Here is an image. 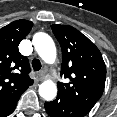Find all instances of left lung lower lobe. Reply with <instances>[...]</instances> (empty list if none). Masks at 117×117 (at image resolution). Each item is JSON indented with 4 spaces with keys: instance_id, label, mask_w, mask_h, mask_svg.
Wrapping results in <instances>:
<instances>
[{
    "instance_id": "left-lung-lower-lobe-1",
    "label": "left lung lower lobe",
    "mask_w": 117,
    "mask_h": 117,
    "mask_svg": "<svg viewBox=\"0 0 117 117\" xmlns=\"http://www.w3.org/2000/svg\"><path fill=\"white\" fill-rule=\"evenodd\" d=\"M45 109L50 117H84L89 113L59 95L54 101L46 102Z\"/></svg>"
}]
</instances>
